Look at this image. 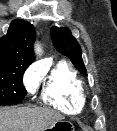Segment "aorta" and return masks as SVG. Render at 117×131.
I'll use <instances>...</instances> for the list:
<instances>
[{
    "label": "aorta",
    "instance_id": "762f6f07",
    "mask_svg": "<svg viewBox=\"0 0 117 131\" xmlns=\"http://www.w3.org/2000/svg\"><path fill=\"white\" fill-rule=\"evenodd\" d=\"M35 51H36L37 54H40L41 49L39 48L38 45H35Z\"/></svg>",
    "mask_w": 117,
    "mask_h": 131
}]
</instances>
